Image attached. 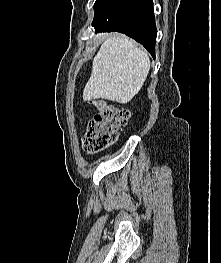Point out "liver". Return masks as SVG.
I'll return each mask as SVG.
<instances>
[{
  "instance_id": "6515ba94",
  "label": "liver",
  "mask_w": 221,
  "mask_h": 263,
  "mask_svg": "<svg viewBox=\"0 0 221 263\" xmlns=\"http://www.w3.org/2000/svg\"><path fill=\"white\" fill-rule=\"evenodd\" d=\"M150 70L146 52L122 35H110L92 62L83 99H105L126 104L142 88Z\"/></svg>"
}]
</instances>
